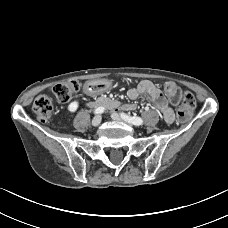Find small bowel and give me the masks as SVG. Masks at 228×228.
<instances>
[{
  "mask_svg": "<svg viewBox=\"0 0 228 228\" xmlns=\"http://www.w3.org/2000/svg\"><path fill=\"white\" fill-rule=\"evenodd\" d=\"M107 88V85L105 83H99L93 86H88L87 90L90 93L99 92L101 90H104ZM127 96L135 100L141 96H149L153 103L156 105V107L159 109L161 114L163 115V118L167 124H172L174 121V112L172 107L170 106V101L165 97V95L149 80L141 81L137 86L130 88L127 91ZM102 99L99 98L94 101H91L88 103L89 107H96V106H105L102 103ZM108 108V107H107ZM112 109V108H109ZM116 109H123V110H134L136 109L135 104H124Z\"/></svg>",
  "mask_w": 228,
  "mask_h": 228,
  "instance_id": "obj_1",
  "label": "small bowel"
}]
</instances>
